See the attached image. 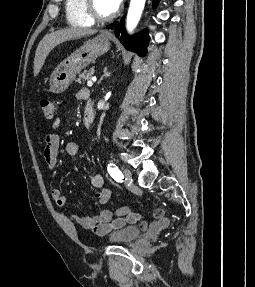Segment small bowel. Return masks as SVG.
I'll return each mask as SVG.
<instances>
[{"label":"small bowel","mask_w":255,"mask_h":287,"mask_svg":"<svg viewBox=\"0 0 255 287\" xmlns=\"http://www.w3.org/2000/svg\"><path fill=\"white\" fill-rule=\"evenodd\" d=\"M82 93L78 94L81 98ZM60 118H57L53 123V128L56 129L60 125ZM60 150V137L56 133H48L45 137L44 160L49 169H53L57 164L58 154ZM64 152L69 156H77L81 153V147L76 142H68L64 146ZM91 185L94 188L100 189L95 194V206L100 208L107 204L111 198V191L104 188V178L98 173L94 172L90 176ZM51 196L55 205L62 208L66 203V198L59 188H53ZM154 220L148 223L140 213L131 212L124 217H113V212L107 209L100 210L95 215H73L69 219L64 213H60V218L67 225L75 222L85 229L92 230L97 235H104L113 229L121 227L126 224L139 223L144 230L153 233H160L166 229L170 224V219L165 215L164 210L155 209L153 212Z\"/></svg>","instance_id":"1"}]
</instances>
